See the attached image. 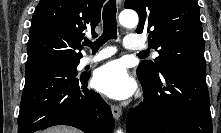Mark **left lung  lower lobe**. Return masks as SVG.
I'll use <instances>...</instances> for the list:
<instances>
[{
    "instance_id": "obj_1",
    "label": "left lung lower lobe",
    "mask_w": 221,
    "mask_h": 133,
    "mask_svg": "<svg viewBox=\"0 0 221 133\" xmlns=\"http://www.w3.org/2000/svg\"><path fill=\"white\" fill-rule=\"evenodd\" d=\"M206 68L174 63L149 77L137 70L145 98L127 117V133H212Z\"/></svg>"
}]
</instances>
